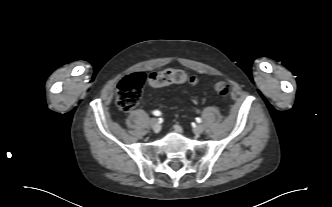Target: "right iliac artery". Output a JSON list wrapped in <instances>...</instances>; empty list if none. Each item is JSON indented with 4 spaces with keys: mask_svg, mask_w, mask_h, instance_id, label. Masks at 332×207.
I'll list each match as a JSON object with an SVG mask.
<instances>
[{
    "mask_svg": "<svg viewBox=\"0 0 332 207\" xmlns=\"http://www.w3.org/2000/svg\"><path fill=\"white\" fill-rule=\"evenodd\" d=\"M153 114H154L155 116H160V115H161V112L158 111V110H155V111H153Z\"/></svg>",
    "mask_w": 332,
    "mask_h": 207,
    "instance_id": "right-iliac-artery-1",
    "label": "right iliac artery"
}]
</instances>
